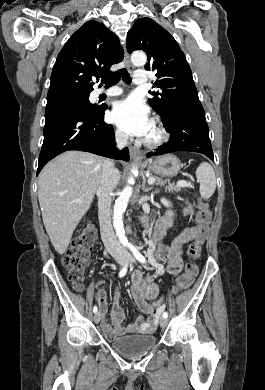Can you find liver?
<instances>
[{"mask_svg": "<svg viewBox=\"0 0 265 390\" xmlns=\"http://www.w3.org/2000/svg\"><path fill=\"white\" fill-rule=\"evenodd\" d=\"M103 163L97 155L67 151L49 162L39 175L43 223L59 254L66 252L76 226L91 206Z\"/></svg>", "mask_w": 265, "mask_h": 390, "instance_id": "6515ba94", "label": "liver"}]
</instances>
